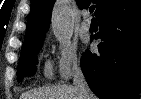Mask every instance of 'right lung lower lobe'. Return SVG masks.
<instances>
[{"mask_svg":"<svg viewBox=\"0 0 141 99\" xmlns=\"http://www.w3.org/2000/svg\"><path fill=\"white\" fill-rule=\"evenodd\" d=\"M97 19L99 53L86 51L81 58L88 85L100 99H135L141 87V0H111Z\"/></svg>","mask_w":141,"mask_h":99,"instance_id":"98d812e1","label":"right lung lower lobe"}]
</instances>
